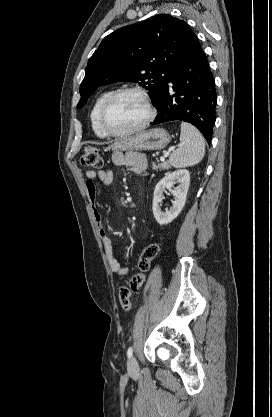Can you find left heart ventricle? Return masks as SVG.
I'll use <instances>...</instances> for the list:
<instances>
[{"label": "left heart ventricle", "mask_w": 272, "mask_h": 417, "mask_svg": "<svg viewBox=\"0 0 272 417\" xmlns=\"http://www.w3.org/2000/svg\"><path fill=\"white\" fill-rule=\"evenodd\" d=\"M147 116L145 104L134 94L116 98L107 110L105 123L109 130L124 132L139 125Z\"/></svg>", "instance_id": "1"}]
</instances>
